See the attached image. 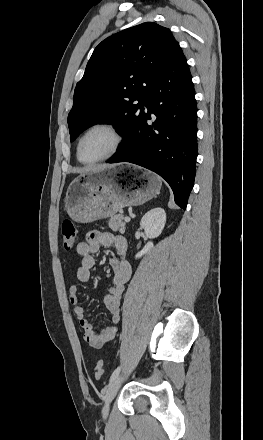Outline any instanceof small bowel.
<instances>
[{
  "label": "small bowel",
  "mask_w": 263,
  "mask_h": 440,
  "mask_svg": "<svg viewBox=\"0 0 263 440\" xmlns=\"http://www.w3.org/2000/svg\"><path fill=\"white\" fill-rule=\"evenodd\" d=\"M102 247H113L116 256L110 259L113 271L112 284L104 297V302L112 315V322L111 325L97 332L92 323L87 319L84 307L79 305V284L89 281L91 270L96 264L94 255ZM76 252L81 257V264L76 271L75 282L69 287V300L75 305V314L84 331L85 340L91 347L99 349L115 338L121 319V296L131 276V265L127 258L128 245L126 239L121 235L110 232L90 231L86 235L85 241L77 245Z\"/></svg>",
  "instance_id": "c3829d8e"
}]
</instances>
